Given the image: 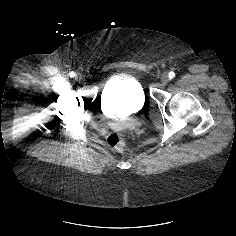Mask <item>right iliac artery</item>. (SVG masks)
<instances>
[{
	"mask_svg": "<svg viewBox=\"0 0 236 236\" xmlns=\"http://www.w3.org/2000/svg\"><path fill=\"white\" fill-rule=\"evenodd\" d=\"M69 76H70V77H75V76H76V73H75L74 71H71V72L69 73Z\"/></svg>",
	"mask_w": 236,
	"mask_h": 236,
	"instance_id": "obj_1",
	"label": "right iliac artery"
}]
</instances>
